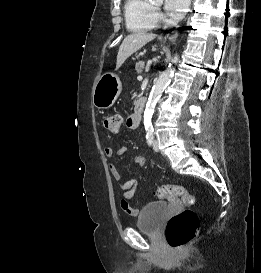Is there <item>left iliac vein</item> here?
I'll use <instances>...</instances> for the list:
<instances>
[{
    "mask_svg": "<svg viewBox=\"0 0 261 273\" xmlns=\"http://www.w3.org/2000/svg\"><path fill=\"white\" fill-rule=\"evenodd\" d=\"M153 149H154V151H156V152L159 151L158 142H157L156 140L153 142Z\"/></svg>",
    "mask_w": 261,
    "mask_h": 273,
    "instance_id": "4c4485c4",
    "label": "left iliac vein"
}]
</instances>
